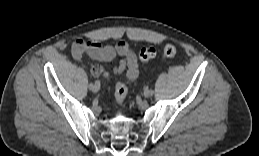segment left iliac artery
Listing matches in <instances>:
<instances>
[{
    "label": "left iliac artery",
    "mask_w": 259,
    "mask_h": 156,
    "mask_svg": "<svg viewBox=\"0 0 259 156\" xmlns=\"http://www.w3.org/2000/svg\"><path fill=\"white\" fill-rule=\"evenodd\" d=\"M147 92H149V95H151V97L155 96V90L154 89H149V90H147Z\"/></svg>",
    "instance_id": "left-iliac-artery-1"
}]
</instances>
